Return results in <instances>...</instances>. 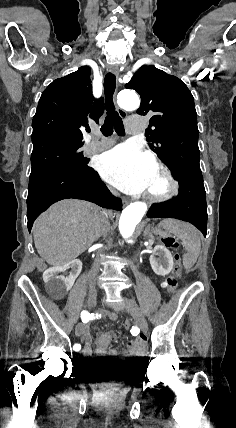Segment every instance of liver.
Instances as JSON below:
<instances>
[{
  "label": "liver",
  "instance_id": "obj_1",
  "mask_svg": "<svg viewBox=\"0 0 236 428\" xmlns=\"http://www.w3.org/2000/svg\"><path fill=\"white\" fill-rule=\"evenodd\" d=\"M110 224L101 208L83 200H62L50 206L34 222L35 248L50 266H64L78 258Z\"/></svg>",
  "mask_w": 236,
  "mask_h": 428
}]
</instances>
